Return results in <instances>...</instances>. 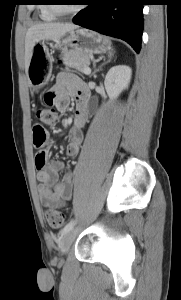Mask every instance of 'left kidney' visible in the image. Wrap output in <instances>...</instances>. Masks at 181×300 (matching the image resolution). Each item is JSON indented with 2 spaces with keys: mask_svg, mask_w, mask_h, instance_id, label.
Segmentation results:
<instances>
[{
  "mask_svg": "<svg viewBox=\"0 0 181 300\" xmlns=\"http://www.w3.org/2000/svg\"><path fill=\"white\" fill-rule=\"evenodd\" d=\"M131 75L132 70L126 65H117L108 71L104 85L110 101L116 99L123 90L128 88Z\"/></svg>",
  "mask_w": 181,
  "mask_h": 300,
  "instance_id": "left-kidney-1",
  "label": "left kidney"
}]
</instances>
